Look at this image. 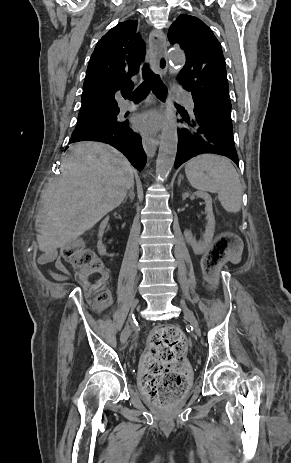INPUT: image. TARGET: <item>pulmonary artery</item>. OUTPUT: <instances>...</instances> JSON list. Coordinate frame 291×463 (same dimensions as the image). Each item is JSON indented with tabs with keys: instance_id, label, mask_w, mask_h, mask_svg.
Here are the masks:
<instances>
[{
	"instance_id": "1",
	"label": "pulmonary artery",
	"mask_w": 291,
	"mask_h": 463,
	"mask_svg": "<svg viewBox=\"0 0 291 463\" xmlns=\"http://www.w3.org/2000/svg\"><path fill=\"white\" fill-rule=\"evenodd\" d=\"M173 93H174V95L176 97L182 99L185 102L188 111L190 113H193V111H194V102H193L191 96L187 92L179 89L177 86H175L173 88ZM134 107H135V104L133 102H130V101H123L120 104V109L123 112L131 110Z\"/></svg>"
}]
</instances>
